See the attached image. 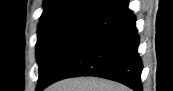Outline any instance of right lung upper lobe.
Returning a JSON list of instances; mask_svg holds the SVG:
<instances>
[{
	"label": "right lung upper lobe",
	"mask_w": 173,
	"mask_h": 91,
	"mask_svg": "<svg viewBox=\"0 0 173 91\" xmlns=\"http://www.w3.org/2000/svg\"><path fill=\"white\" fill-rule=\"evenodd\" d=\"M103 1L105 0H45L39 25L68 20L88 21L108 7L102 4ZM118 1L120 0H111V3Z\"/></svg>",
	"instance_id": "right-lung-upper-lobe-1"
}]
</instances>
